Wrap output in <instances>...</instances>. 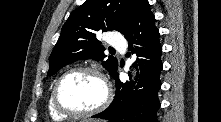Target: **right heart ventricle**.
I'll return each instance as SVG.
<instances>
[{"label":"right heart ventricle","mask_w":221,"mask_h":122,"mask_svg":"<svg viewBox=\"0 0 221 122\" xmlns=\"http://www.w3.org/2000/svg\"><path fill=\"white\" fill-rule=\"evenodd\" d=\"M48 112H49V115L51 116V118L55 121H61L67 117L66 115L61 114L60 112H58L55 109L53 102H52V91H51L49 98H48Z\"/></svg>","instance_id":"1"}]
</instances>
